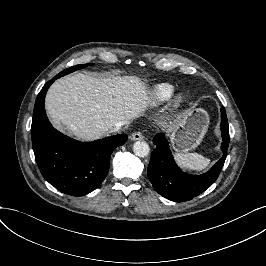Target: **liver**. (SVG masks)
Wrapping results in <instances>:
<instances>
[{"label":"liver","mask_w":266,"mask_h":266,"mask_svg":"<svg viewBox=\"0 0 266 266\" xmlns=\"http://www.w3.org/2000/svg\"><path fill=\"white\" fill-rule=\"evenodd\" d=\"M147 99L143 86L129 77L99 79L77 74L56 81L46 96L52 122L83 139L106 135L137 116Z\"/></svg>","instance_id":"6515ba94"}]
</instances>
